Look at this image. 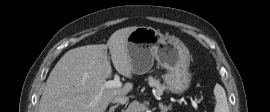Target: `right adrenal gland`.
<instances>
[{"instance_id":"1","label":"right adrenal gland","mask_w":270,"mask_h":112,"mask_svg":"<svg viewBox=\"0 0 270 112\" xmlns=\"http://www.w3.org/2000/svg\"><path fill=\"white\" fill-rule=\"evenodd\" d=\"M118 106H119V104H116V105H114V106H111L110 109H109V111H107V112H114V110H115Z\"/></svg>"}]
</instances>
